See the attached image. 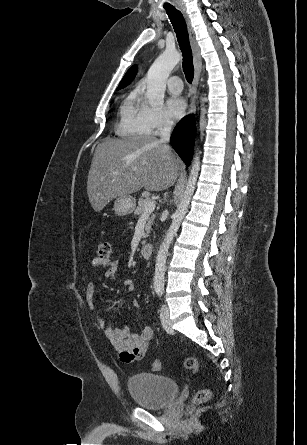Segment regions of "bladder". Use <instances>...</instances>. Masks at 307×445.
<instances>
[{"label": "bladder", "mask_w": 307, "mask_h": 445, "mask_svg": "<svg viewBox=\"0 0 307 445\" xmlns=\"http://www.w3.org/2000/svg\"><path fill=\"white\" fill-rule=\"evenodd\" d=\"M127 388L137 406L153 410L169 406L179 392V385L175 380L147 372L129 377Z\"/></svg>", "instance_id": "1"}]
</instances>
